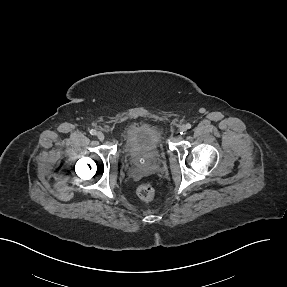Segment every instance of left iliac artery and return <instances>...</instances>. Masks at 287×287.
Here are the masks:
<instances>
[{"instance_id": "left-iliac-artery-1", "label": "left iliac artery", "mask_w": 287, "mask_h": 287, "mask_svg": "<svg viewBox=\"0 0 287 287\" xmlns=\"http://www.w3.org/2000/svg\"><path fill=\"white\" fill-rule=\"evenodd\" d=\"M186 127H187V129H190L191 128V124L190 123L186 124Z\"/></svg>"}]
</instances>
